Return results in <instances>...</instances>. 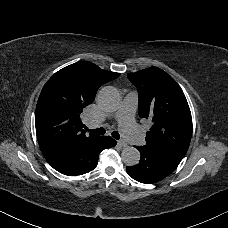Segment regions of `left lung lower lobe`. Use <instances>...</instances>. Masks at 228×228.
<instances>
[{
	"label": "left lung lower lobe",
	"instance_id": "1",
	"mask_svg": "<svg viewBox=\"0 0 228 228\" xmlns=\"http://www.w3.org/2000/svg\"><path fill=\"white\" fill-rule=\"evenodd\" d=\"M141 154L140 162L126 167L127 173L135 180L151 184L171 174L183 156L154 146H135Z\"/></svg>",
	"mask_w": 228,
	"mask_h": 228
}]
</instances>
